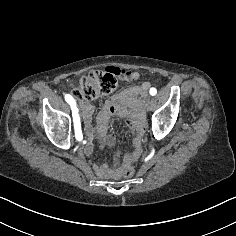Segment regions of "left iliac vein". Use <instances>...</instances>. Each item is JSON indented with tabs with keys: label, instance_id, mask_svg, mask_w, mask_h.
Here are the masks:
<instances>
[{
	"label": "left iliac vein",
	"instance_id": "4c4485c4",
	"mask_svg": "<svg viewBox=\"0 0 236 236\" xmlns=\"http://www.w3.org/2000/svg\"><path fill=\"white\" fill-rule=\"evenodd\" d=\"M150 102H151L152 105H155V104H156V101L153 100V99H152Z\"/></svg>",
	"mask_w": 236,
	"mask_h": 236
}]
</instances>
